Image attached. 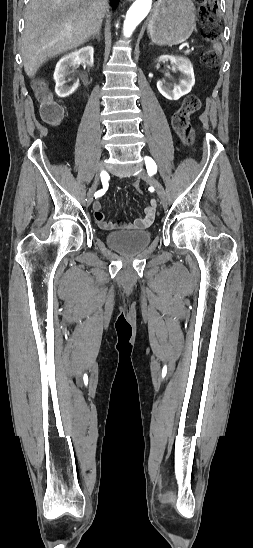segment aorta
I'll list each match as a JSON object with an SVG mask.
<instances>
[{
  "mask_svg": "<svg viewBox=\"0 0 253 548\" xmlns=\"http://www.w3.org/2000/svg\"><path fill=\"white\" fill-rule=\"evenodd\" d=\"M152 7V0H136L127 11L123 24V34L130 37L135 28L148 15Z\"/></svg>",
  "mask_w": 253,
  "mask_h": 548,
  "instance_id": "aorta-1",
  "label": "aorta"
}]
</instances>
